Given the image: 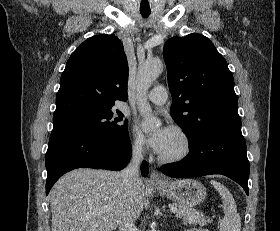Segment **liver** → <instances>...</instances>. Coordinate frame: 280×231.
<instances>
[{
  "label": "liver",
  "instance_id": "liver-1",
  "mask_svg": "<svg viewBox=\"0 0 280 231\" xmlns=\"http://www.w3.org/2000/svg\"><path fill=\"white\" fill-rule=\"evenodd\" d=\"M146 193L143 179L123 185L121 171H68L50 191L52 231H112L124 217H139Z\"/></svg>",
  "mask_w": 280,
  "mask_h": 231
}]
</instances>
